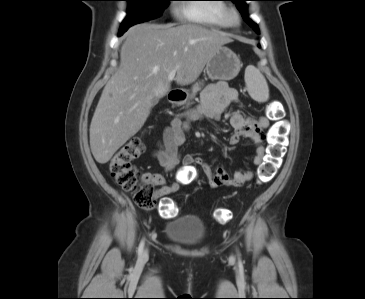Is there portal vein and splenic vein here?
Returning <instances> with one entry per match:
<instances>
[{
	"mask_svg": "<svg viewBox=\"0 0 365 299\" xmlns=\"http://www.w3.org/2000/svg\"><path fill=\"white\" fill-rule=\"evenodd\" d=\"M175 75H176V71L175 70H173V71H171L169 73V75H168L169 82L172 81L175 78Z\"/></svg>",
	"mask_w": 365,
	"mask_h": 299,
	"instance_id": "obj_1",
	"label": "portal vein and splenic vein"
}]
</instances>
